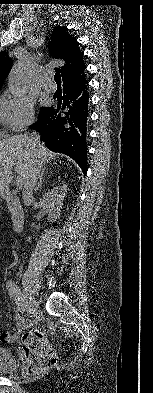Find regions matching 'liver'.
<instances>
[{"instance_id": "6515ba94", "label": "liver", "mask_w": 153, "mask_h": 393, "mask_svg": "<svg viewBox=\"0 0 153 393\" xmlns=\"http://www.w3.org/2000/svg\"><path fill=\"white\" fill-rule=\"evenodd\" d=\"M52 156L41 145L32 147L26 135L13 136L0 141V194L9 186L14 174H17L22 186L34 163L39 161L43 165Z\"/></svg>"}]
</instances>
